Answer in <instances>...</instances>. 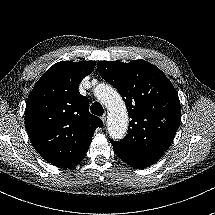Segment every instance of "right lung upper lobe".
I'll list each match as a JSON object with an SVG mask.
<instances>
[{
	"label": "right lung upper lobe",
	"instance_id": "right-lung-upper-lobe-1",
	"mask_svg": "<svg viewBox=\"0 0 215 215\" xmlns=\"http://www.w3.org/2000/svg\"><path fill=\"white\" fill-rule=\"evenodd\" d=\"M95 61H61L51 66L30 92L25 126L30 141L49 163L60 168L79 164L85 157L99 117L89 113V101L78 87Z\"/></svg>",
	"mask_w": 215,
	"mask_h": 215
}]
</instances>
